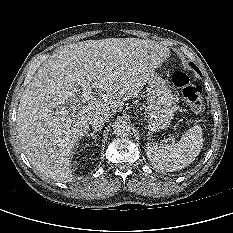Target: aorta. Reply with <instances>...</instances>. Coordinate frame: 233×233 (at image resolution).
<instances>
[{
    "label": "aorta",
    "mask_w": 233,
    "mask_h": 233,
    "mask_svg": "<svg viewBox=\"0 0 233 233\" xmlns=\"http://www.w3.org/2000/svg\"><path fill=\"white\" fill-rule=\"evenodd\" d=\"M131 126L125 120H118L113 124V132L116 136L125 137L130 133Z\"/></svg>",
    "instance_id": "aorta-1"
}]
</instances>
